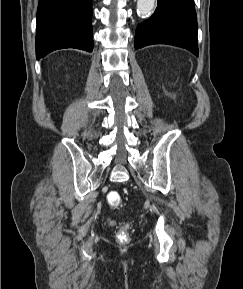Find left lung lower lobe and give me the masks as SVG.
<instances>
[{"label":"left lung lower lobe","instance_id":"left-lung-lower-lobe-1","mask_svg":"<svg viewBox=\"0 0 243 289\" xmlns=\"http://www.w3.org/2000/svg\"><path fill=\"white\" fill-rule=\"evenodd\" d=\"M197 34L194 0H158L154 14L137 26L134 46L169 44L198 56Z\"/></svg>","mask_w":243,"mask_h":289}]
</instances>
